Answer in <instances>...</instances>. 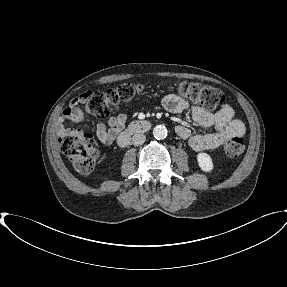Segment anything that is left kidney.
I'll return each mask as SVG.
<instances>
[{
  "label": "left kidney",
  "instance_id": "1",
  "mask_svg": "<svg viewBox=\"0 0 287 287\" xmlns=\"http://www.w3.org/2000/svg\"><path fill=\"white\" fill-rule=\"evenodd\" d=\"M197 161L199 164V167L201 168V170L205 171V172H209L213 169V162H212V158L209 154L207 153H199L197 155Z\"/></svg>",
  "mask_w": 287,
  "mask_h": 287
}]
</instances>
